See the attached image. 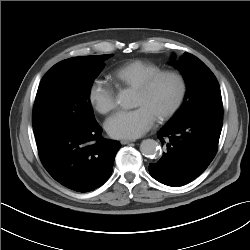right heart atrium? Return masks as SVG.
<instances>
[{
	"instance_id": "1",
	"label": "right heart atrium",
	"mask_w": 250,
	"mask_h": 250,
	"mask_svg": "<svg viewBox=\"0 0 250 250\" xmlns=\"http://www.w3.org/2000/svg\"><path fill=\"white\" fill-rule=\"evenodd\" d=\"M88 99L93 108L101 114H107L116 106L113 86L104 79L96 78L88 89Z\"/></svg>"
}]
</instances>
